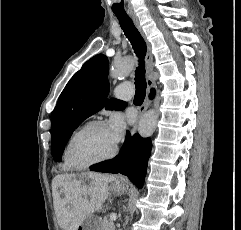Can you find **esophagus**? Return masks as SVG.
I'll return each instance as SVG.
<instances>
[{
	"instance_id": "34e87169",
	"label": "esophagus",
	"mask_w": 241,
	"mask_h": 230,
	"mask_svg": "<svg viewBox=\"0 0 241 230\" xmlns=\"http://www.w3.org/2000/svg\"><path fill=\"white\" fill-rule=\"evenodd\" d=\"M130 18L132 19L135 27L139 31V33L144 37V33L142 30V27L139 23L138 17L134 13L129 14ZM153 56L151 53V46L148 44V51L146 55V82H147V97L145 98L144 102L141 104V106L138 109V121L141 119L143 114L146 112L148 107L150 106V100L148 98L150 90L154 87L155 81L152 78V73H153ZM138 121L133 127V132L137 130L138 127Z\"/></svg>"
}]
</instances>
